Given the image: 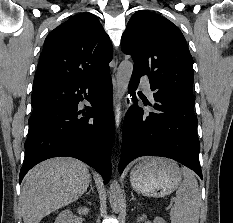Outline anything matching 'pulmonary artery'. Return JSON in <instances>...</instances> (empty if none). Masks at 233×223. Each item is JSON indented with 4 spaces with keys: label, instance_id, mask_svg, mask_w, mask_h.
Wrapping results in <instances>:
<instances>
[{
    "label": "pulmonary artery",
    "instance_id": "obj_1",
    "mask_svg": "<svg viewBox=\"0 0 233 223\" xmlns=\"http://www.w3.org/2000/svg\"><path fill=\"white\" fill-rule=\"evenodd\" d=\"M140 85L142 87V89L144 90V92L148 95V96H152L153 95V91L151 89V85H150V81H149V74H140Z\"/></svg>",
    "mask_w": 233,
    "mask_h": 223
}]
</instances>
